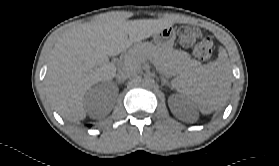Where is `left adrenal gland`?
<instances>
[{"instance_id": "1", "label": "left adrenal gland", "mask_w": 279, "mask_h": 166, "mask_svg": "<svg viewBox=\"0 0 279 166\" xmlns=\"http://www.w3.org/2000/svg\"><path fill=\"white\" fill-rule=\"evenodd\" d=\"M162 85H167L169 86L168 80L166 78H162Z\"/></svg>"}]
</instances>
